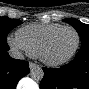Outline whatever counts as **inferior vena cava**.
Segmentation results:
<instances>
[{
    "label": "inferior vena cava",
    "instance_id": "1",
    "mask_svg": "<svg viewBox=\"0 0 89 89\" xmlns=\"http://www.w3.org/2000/svg\"><path fill=\"white\" fill-rule=\"evenodd\" d=\"M9 55L14 59H23L24 58V55L17 49L9 50Z\"/></svg>",
    "mask_w": 89,
    "mask_h": 89
}]
</instances>
